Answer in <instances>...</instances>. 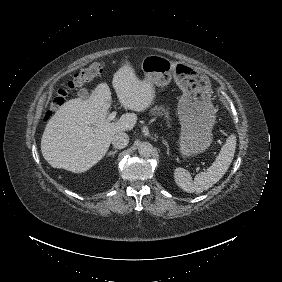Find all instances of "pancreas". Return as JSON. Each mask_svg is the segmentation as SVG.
<instances>
[{
	"label": "pancreas",
	"instance_id": "cf45deb5",
	"mask_svg": "<svg viewBox=\"0 0 282 282\" xmlns=\"http://www.w3.org/2000/svg\"><path fill=\"white\" fill-rule=\"evenodd\" d=\"M150 114L156 117H164L165 124L167 125L168 129L172 128V113L170 112V107L167 104L158 105L155 104L151 110Z\"/></svg>",
	"mask_w": 282,
	"mask_h": 282
}]
</instances>
